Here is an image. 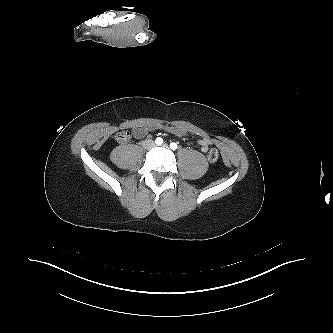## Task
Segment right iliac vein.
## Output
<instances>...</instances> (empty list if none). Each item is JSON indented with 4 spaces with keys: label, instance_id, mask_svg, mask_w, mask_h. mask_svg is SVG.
Masks as SVG:
<instances>
[{
    "label": "right iliac vein",
    "instance_id": "obj_1",
    "mask_svg": "<svg viewBox=\"0 0 333 333\" xmlns=\"http://www.w3.org/2000/svg\"><path fill=\"white\" fill-rule=\"evenodd\" d=\"M154 146V143L151 140H146L143 142V147L145 149H151Z\"/></svg>",
    "mask_w": 333,
    "mask_h": 333
}]
</instances>
